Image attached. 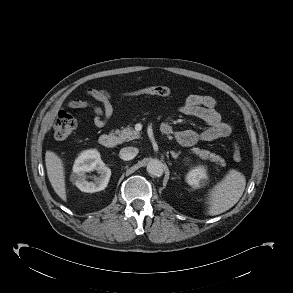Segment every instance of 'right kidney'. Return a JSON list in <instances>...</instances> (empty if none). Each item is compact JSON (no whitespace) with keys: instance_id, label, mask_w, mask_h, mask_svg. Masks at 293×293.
<instances>
[{"instance_id":"1","label":"right kidney","mask_w":293,"mask_h":293,"mask_svg":"<svg viewBox=\"0 0 293 293\" xmlns=\"http://www.w3.org/2000/svg\"><path fill=\"white\" fill-rule=\"evenodd\" d=\"M93 170L98 172L99 177H95L94 181H88L86 174ZM110 176L111 170L101 160L99 152L90 149L82 152L75 160L71 180L81 191L94 193L107 187Z\"/></svg>"}]
</instances>
